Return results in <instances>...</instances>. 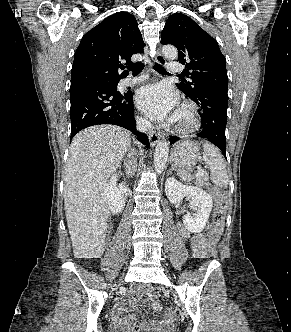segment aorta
Instances as JSON below:
<instances>
[{
    "label": "aorta",
    "instance_id": "aorta-1",
    "mask_svg": "<svg viewBox=\"0 0 291 332\" xmlns=\"http://www.w3.org/2000/svg\"><path fill=\"white\" fill-rule=\"evenodd\" d=\"M162 53L165 58L174 60L177 58L178 52L174 46L165 45L162 48ZM166 140H160L155 148L154 153V169L157 174H161L166 167L169 146Z\"/></svg>",
    "mask_w": 291,
    "mask_h": 332
}]
</instances>
